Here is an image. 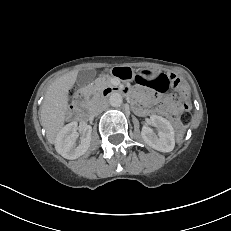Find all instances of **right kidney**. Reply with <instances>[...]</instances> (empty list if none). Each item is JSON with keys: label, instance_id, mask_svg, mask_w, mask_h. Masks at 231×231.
Here are the masks:
<instances>
[{"label": "right kidney", "instance_id": "ca27d5eb", "mask_svg": "<svg viewBox=\"0 0 231 231\" xmlns=\"http://www.w3.org/2000/svg\"><path fill=\"white\" fill-rule=\"evenodd\" d=\"M77 122H71L64 126L57 134L55 149L66 159H76L86 153L91 142L92 128L87 126L81 132V142L76 145L79 136L77 132Z\"/></svg>", "mask_w": 231, "mask_h": 231}]
</instances>
